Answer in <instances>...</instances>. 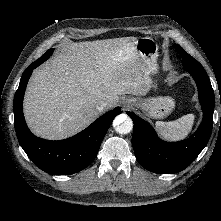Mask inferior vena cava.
<instances>
[{"label": "inferior vena cava", "instance_id": "1", "mask_svg": "<svg viewBox=\"0 0 221 221\" xmlns=\"http://www.w3.org/2000/svg\"><path fill=\"white\" fill-rule=\"evenodd\" d=\"M107 104L108 102L105 99H102L97 103L96 108L98 110H103L107 106Z\"/></svg>", "mask_w": 221, "mask_h": 221}]
</instances>
